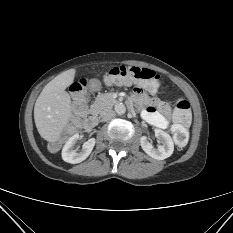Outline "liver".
<instances>
[{
	"mask_svg": "<svg viewBox=\"0 0 233 233\" xmlns=\"http://www.w3.org/2000/svg\"><path fill=\"white\" fill-rule=\"evenodd\" d=\"M75 73V69H69L56 76L35 102V125L40 136L48 142L58 141L72 118L71 97L65 90L73 83Z\"/></svg>",
	"mask_w": 233,
	"mask_h": 233,
	"instance_id": "liver-1",
	"label": "liver"
}]
</instances>
